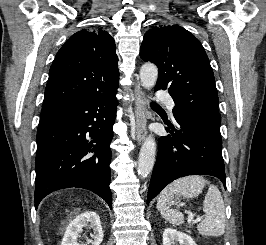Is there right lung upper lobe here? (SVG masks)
<instances>
[{"label":"right lung upper lobe","instance_id":"right-lung-upper-lobe-1","mask_svg":"<svg viewBox=\"0 0 266 245\" xmlns=\"http://www.w3.org/2000/svg\"><path fill=\"white\" fill-rule=\"evenodd\" d=\"M115 49L114 39L101 29L72 35L50 68L41 118L73 101L115 91L119 80Z\"/></svg>","mask_w":266,"mask_h":245}]
</instances>
